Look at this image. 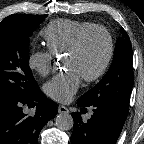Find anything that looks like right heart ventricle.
<instances>
[{"mask_svg": "<svg viewBox=\"0 0 144 144\" xmlns=\"http://www.w3.org/2000/svg\"><path fill=\"white\" fill-rule=\"evenodd\" d=\"M95 25L88 21L58 19L49 23L43 30V37L47 48L59 55L67 52L77 35L84 29Z\"/></svg>", "mask_w": 144, "mask_h": 144, "instance_id": "right-heart-ventricle-1", "label": "right heart ventricle"}]
</instances>
